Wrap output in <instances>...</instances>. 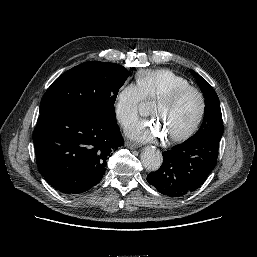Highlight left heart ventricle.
Segmentation results:
<instances>
[{"instance_id":"left-heart-ventricle-1","label":"left heart ventricle","mask_w":257,"mask_h":257,"mask_svg":"<svg viewBox=\"0 0 257 257\" xmlns=\"http://www.w3.org/2000/svg\"><path fill=\"white\" fill-rule=\"evenodd\" d=\"M199 100L196 94L187 93L171 105L154 103L151 114L158 118L168 137L187 130L197 117Z\"/></svg>"}]
</instances>
